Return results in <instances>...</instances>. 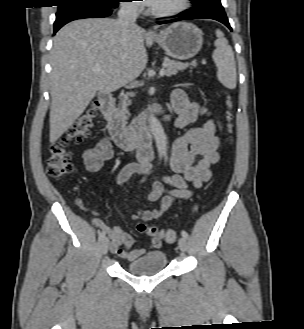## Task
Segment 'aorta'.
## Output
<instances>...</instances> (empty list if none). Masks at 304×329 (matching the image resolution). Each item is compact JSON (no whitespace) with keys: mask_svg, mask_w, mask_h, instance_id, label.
<instances>
[{"mask_svg":"<svg viewBox=\"0 0 304 329\" xmlns=\"http://www.w3.org/2000/svg\"><path fill=\"white\" fill-rule=\"evenodd\" d=\"M149 125L151 132L155 139L156 147L158 150L159 159L165 156L167 151V137L165 135L164 129L160 124L159 120L151 115L149 119Z\"/></svg>","mask_w":304,"mask_h":329,"instance_id":"aorta-1","label":"aorta"}]
</instances>
